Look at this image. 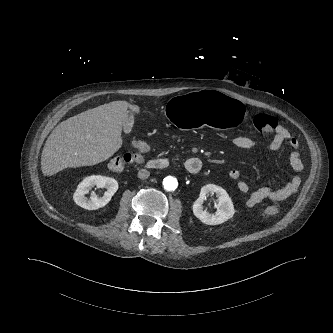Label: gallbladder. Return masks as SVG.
Instances as JSON below:
<instances>
[{
	"label": "gallbladder",
	"mask_w": 333,
	"mask_h": 333,
	"mask_svg": "<svg viewBox=\"0 0 333 333\" xmlns=\"http://www.w3.org/2000/svg\"><path fill=\"white\" fill-rule=\"evenodd\" d=\"M133 124H134V117L132 114L128 113L122 124L124 133L129 134L132 131Z\"/></svg>",
	"instance_id": "obj_1"
}]
</instances>
